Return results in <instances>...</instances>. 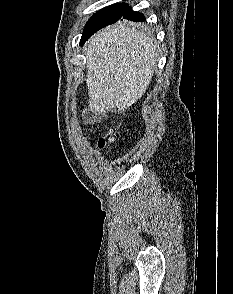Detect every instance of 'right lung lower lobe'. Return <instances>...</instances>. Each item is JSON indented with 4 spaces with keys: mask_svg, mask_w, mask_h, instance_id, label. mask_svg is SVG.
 Here are the masks:
<instances>
[{
    "mask_svg": "<svg viewBox=\"0 0 233 294\" xmlns=\"http://www.w3.org/2000/svg\"><path fill=\"white\" fill-rule=\"evenodd\" d=\"M121 17L128 19L130 21H136V22L145 21V17L143 16L142 13L135 12L130 7L127 8V10L124 12V14ZM109 24H112V22L101 24V25L96 26L95 28H93L89 31L84 32L82 35V38H81L80 45H83L84 42L87 41L88 38L91 37V35L94 34L96 31H98L102 27L107 26Z\"/></svg>",
    "mask_w": 233,
    "mask_h": 294,
    "instance_id": "1",
    "label": "right lung lower lobe"
}]
</instances>
